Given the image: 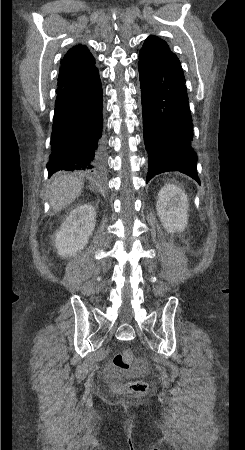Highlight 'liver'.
Masks as SVG:
<instances>
[{"label":"liver","instance_id":"6515ba94","mask_svg":"<svg viewBox=\"0 0 245 450\" xmlns=\"http://www.w3.org/2000/svg\"><path fill=\"white\" fill-rule=\"evenodd\" d=\"M84 183L78 177L60 174L50 184L47 193L55 212H59L72 203L82 192Z\"/></svg>","mask_w":245,"mask_h":450}]
</instances>
